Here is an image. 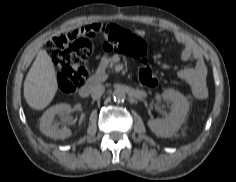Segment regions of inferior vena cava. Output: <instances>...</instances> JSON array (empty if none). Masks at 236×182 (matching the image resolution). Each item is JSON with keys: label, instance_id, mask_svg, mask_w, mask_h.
Listing matches in <instances>:
<instances>
[{"label": "inferior vena cava", "instance_id": "1", "mask_svg": "<svg viewBox=\"0 0 236 182\" xmlns=\"http://www.w3.org/2000/svg\"><path fill=\"white\" fill-rule=\"evenodd\" d=\"M105 91V86L102 84H95L91 89V97L93 99H98L102 96Z\"/></svg>", "mask_w": 236, "mask_h": 182}]
</instances>
